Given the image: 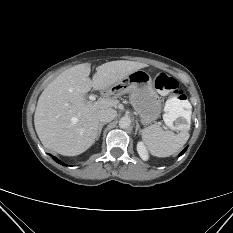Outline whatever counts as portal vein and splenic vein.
Listing matches in <instances>:
<instances>
[{
  "label": "portal vein and splenic vein",
  "instance_id": "obj_1",
  "mask_svg": "<svg viewBox=\"0 0 233 233\" xmlns=\"http://www.w3.org/2000/svg\"><path fill=\"white\" fill-rule=\"evenodd\" d=\"M89 100H90V101H95V100H96L95 95H90V96H89Z\"/></svg>",
  "mask_w": 233,
  "mask_h": 233
}]
</instances>
